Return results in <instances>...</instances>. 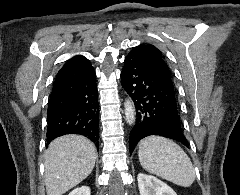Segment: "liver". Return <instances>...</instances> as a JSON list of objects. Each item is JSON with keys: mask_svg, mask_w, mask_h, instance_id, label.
Masks as SVG:
<instances>
[{"mask_svg": "<svg viewBox=\"0 0 240 195\" xmlns=\"http://www.w3.org/2000/svg\"><path fill=\"white\" fill-rule=\"evenodd\" d=\"M97 149L84 135H61L51 141L44 155L47 195H62L91 173Z\"/></svg>", "mask_w": 240, "mask_h": 195, "instance_id": "6515ba94", "label": "liver"}]
</instances>
